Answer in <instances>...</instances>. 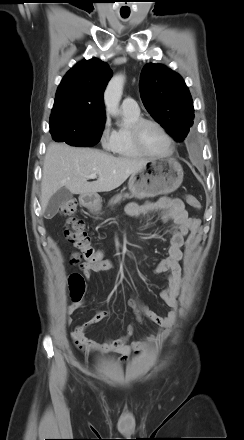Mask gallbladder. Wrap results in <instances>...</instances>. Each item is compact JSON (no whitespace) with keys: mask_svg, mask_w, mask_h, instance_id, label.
Here are the masks:
<instances>
[{"mask_svg":"<svg viewBox=\"0 0 244 440\" xmlns=\"http://www.w3.org/2000/svg\"><path fill=\"white\" fill-rule=\"evenodd\" d=\"M73 198V194L65 187L59 189L49 200L46 207V215L53 217L61 205Z\"/></svg>","mask_w":244,"mask_h":440,"instance_id":"obj_1","label":"gallbladder"}]
</instances>
